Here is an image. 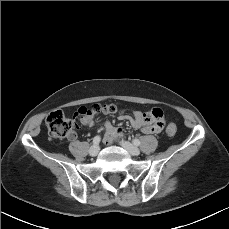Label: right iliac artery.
Here are the masks:
<instances>
[{"label":"right iliac artery","mask_w":229,"mask_h":229,"mask_svg":"<svg viewBox=\"0 0 229 229\" xmlns=\"http://www.w3.org/2000/svg\"><path fill=\"white\" fill-rule=\"evenodd\" d=\"M100 141H101V137L98 135L93 138V144L94 145H98L100 143Z\"/></svg>","instance_id":"obj_1"}]
</instances>
